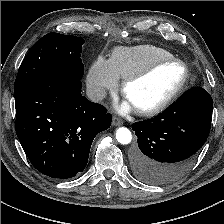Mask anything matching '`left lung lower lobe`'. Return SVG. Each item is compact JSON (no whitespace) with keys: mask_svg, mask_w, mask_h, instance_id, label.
<instances>
[{"mask_svg":"<svg viewBox=\"0 0 224 224\" xmlns=\"http://www.w3.org/2000/svg\"><path fill=\"white\" fill-rule=\"evenodd\" d=\"M212 109L210 94L196 87L154 118L134 123L139 147L133 156L135 176L150 184L180 178L208 138Z\"/></svg>","mask_w":224,"mask_h":224,"instance_id":"left-lung-lower-lobe-1","label":"left lung lower lobe"}]
</instances>
